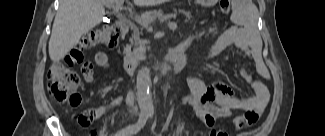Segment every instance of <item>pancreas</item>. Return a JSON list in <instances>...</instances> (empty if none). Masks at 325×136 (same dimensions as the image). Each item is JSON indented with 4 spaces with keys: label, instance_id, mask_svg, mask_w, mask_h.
Instances as JSON below:
<instances>
[{
    "label": "pancreas",
    "instance_id": "1",
    "mask_svg": "<svg viewBox=\"0 0 325 136\" xmlns=\"http://www.w3.org/2000/svg\"><path fill=\"white\" fill-rule=\"evenodd\" d=\"M167 16H179V22L181 24H188L189 19L195 18L194 12H188L186 6L184 5H173L172 9H167ZM133 28V40H140V38L143 36L141 33H139V28L131 26Z\"/></svg>",
    "mask_w": 325,
    "mask_h": 136
}]
</instances>
